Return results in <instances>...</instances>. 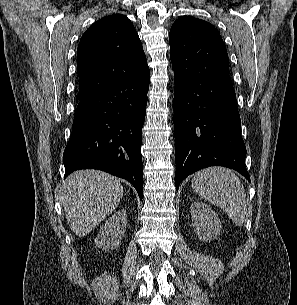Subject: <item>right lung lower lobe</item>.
<instances>
[{
  "label": "right lung lower lobe",
  "mask_w": 297,
  "mask_h": 305,
  "mask_svg": "<svg viewBox=\"0 0 297 305\" xmlns=\"http://www.w3.org/2000/svg\"><path fill=\"white\" fill-rule=\"evenodd\" d=\"M149 68L79 99L63 154L65 177L94 168L128 180L143 198L142 127Z\"/></svg>",
  "instance_id": "obj_1"
}]
</instances>
